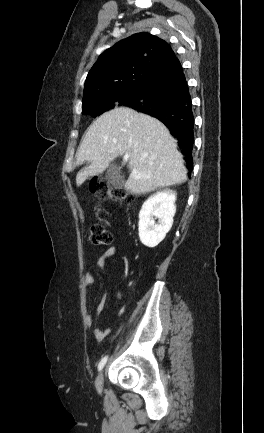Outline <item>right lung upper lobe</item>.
I'll use <instances>...</instances> for the list:
<instances>
[{
	"instance_id": "right-lung-upper-lobe-1",
	"label": "right lung upper lobe",
	"mask_w": 264,
	"mask_h": 433,
	"mask_svg": "<svg viewBox=\"0 0 264 433\" xmlns=\"http://www.w3.org/2000/svg\"><path fill=\"white\" fill-rule=\"evenodd\" d=\"M173 55L168 43L146 32L124 39L99 56L87 75L83 100L141 85Z\"/></svg>"
}]
</instances>
